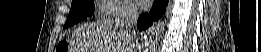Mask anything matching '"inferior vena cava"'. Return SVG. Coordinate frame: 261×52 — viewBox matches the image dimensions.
Returning a JSON list of instances; mask_svg holds the SVG:
<instances>
[{
	"label": "inferior vena cava",
	"instance_id": "inferior-vena-cava-1",
	"mask_svg": "<svg viewBox=\"0 0 261 52\" xmlns=\"http://www.w3.org/2000/svg\"><path fill=\"white\" fill-rule=\"evenodd\" d=\"M139 16L138 8L130 1H124L121 6V13L116 20L117 24L124 29L125 33H130L136 25ZM134 47V42L132 41ZM132 51V50H131Z\"/></svg>",
	"mask_w": 261,
	"mask_h": 52
}]
</instances>
